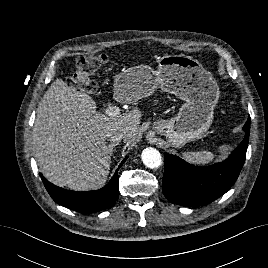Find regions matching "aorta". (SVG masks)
I'll return each instance as SVG.
<instances>
[{"instance_id":"obj_1","label":"aorta","mask_w":268,"mask_h":268,"mask_svg":"<svg viewBox=\"0 0 268 268\" xmlns=\"http://www.w3.org/2000/svg\"><path fill=\"white\" fill-rule=\"evenodd\" d=\"M141 158L144 165L151 169L158 168L162 163L160 152L152 147L145 148L142 151Z\"/></svg>"}]
</instances>
